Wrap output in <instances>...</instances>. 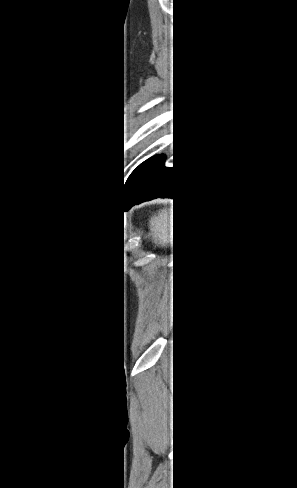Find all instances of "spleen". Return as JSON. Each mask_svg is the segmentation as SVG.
I'll return each mask as SVG.
<instances>
[{
	"label": "spleen",
	"mask_w": 297,
	"mask_h": 488,
	"mask_svg": "<svg viewBox=\"0 0 297 488\" xmlns=\"http://www.w3.org/2000/svg\"><path fill=\"white\" fill-rule=\"evenodd\" d=\"M166 214L165 211L162 210V212L158 215L153 217L150 221V231L152 234V237L155 242H159L160 244H164L165 242V235H166Z\"/></svg>",
	"instance_id": "1"
}]
</instances>
